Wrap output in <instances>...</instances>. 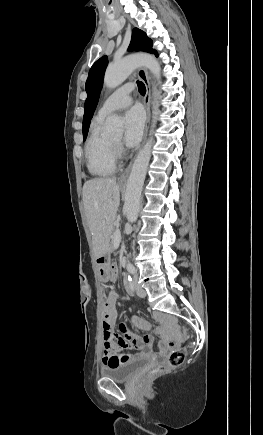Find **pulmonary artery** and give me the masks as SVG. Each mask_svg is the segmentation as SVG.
<instances>
[{"mask_svg": "<svg viewBox=\"0 0 263 435\" xmlns=\"http://www.w3.org/2000/svg\"><path fill=\"white\" fill-rule=\"evenodd\" d=\"M133 90L131 84H126L113 92L101 105L98 111V116L105 118L114 111H118L128 107L131 102L130 93Z\"/></svg>", "mask_w": 263, "mask_h": 435, "instance_id": "1", "label": "pulmonary artery"}]
</instances>
